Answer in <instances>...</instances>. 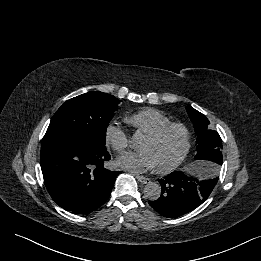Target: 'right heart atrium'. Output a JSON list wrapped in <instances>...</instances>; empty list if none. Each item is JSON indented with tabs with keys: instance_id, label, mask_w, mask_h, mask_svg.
Instances as JSON below:
<instances>
[{
	"instance_id": "obj_1",
	"label": "right heart atrium",
	"mask_w": 261,
	"mask_h": 261,
	"mask_svg": "<svg viewBox=\"0 0 261 261\" xmlns=\"http://www.w3.org/2000/svg\"><path fill=\"white\" fill-rule=\"evenodd\" d=\"M105 141L114 151L122 153L130 146L128 133L114 122H110L105 127Z\"/></svg>"
}]
</instances>
